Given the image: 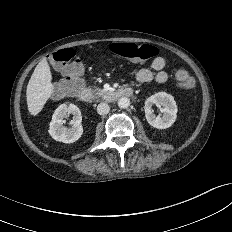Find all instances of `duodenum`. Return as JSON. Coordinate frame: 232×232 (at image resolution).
Here are the masks:
<instances>
[{
  "instance_id": "obj_1",
  "label": "duodenum",
  "mask_w": 232,
  "mask_h": 232,
  "mask_svg": "<svg viewBox=\"0 0 232 232\" xmlns=\"http://www.w3.org/2000/svg\"><path fill=\"white\" fill-rule=\"evenodd\" d=\"M133 95V90L130 87L122 88L116 91H109L103 95L105 102H115L121 98L130 97ZM77 97L84 103H90L93 100L91 92L85 88H80Z\"/></svg>"
}]
</instances>
